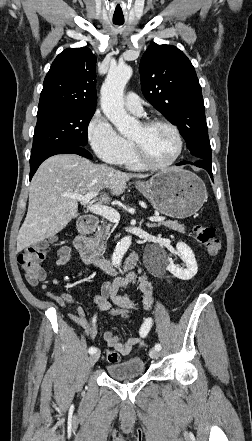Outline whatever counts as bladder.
Returning a JSON list of instances; mask_svg holds the SVG:
<instances>
[{"instance_id": "31cf9c89", "label": "bladder", "mask_w": 252, "mask_h": 441, "mask_svg": "<svg viewBox=\"0 0 252 441\" xmlns=\"http://www.w3.org/2000/svg\"><path fill=\"white\" fill-rule=\"evenodd\" d=\"M106 372L114 380H132L143 374L144 361L141 358H133L119 363H110L106 366Z\"/></svg>"}]
</instances>
